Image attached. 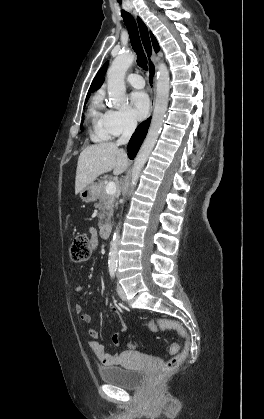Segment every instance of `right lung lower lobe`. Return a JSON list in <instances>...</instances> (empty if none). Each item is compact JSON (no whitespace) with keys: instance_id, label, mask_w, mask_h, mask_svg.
I'll return each instance as SVG.
<instances>
[{"instance_id":"obj_1","label":"right lung lower lobe","mask_w":264,"mask_h":419,"mask_svg":"<svg viewBox=\"0 0 264 419\" xmlns=\"http://www.w3.org/2000/svg\"><path fill=\"white\" fill-rule=\"evenodd\" d=\"M149 125H150V118H148L146 121H143L136 128L134 134L132 135L127 146L128 156L130 157V159H134L136 157V154L138 153V150L143 140L146 137Z\"/></svg>"}]
</instances>
